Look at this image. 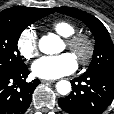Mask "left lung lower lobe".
<instances>
[{
  "label": "left lung lower lobe",
  "instance_id": "1",
  "mask_svg": "<svg viewBox=\"0 0 114 114\" xmlns=\"http://www.w3.org/2000/svg\"><path fill=\"white\" fill-rule=\"evenodd\" d=\"M71 83V94L58 100L69 114H101L114 98V71L85 72Z\"/></svg>",
  "mask_w": 114,
  "mask_h": 114
}]
</instances>
